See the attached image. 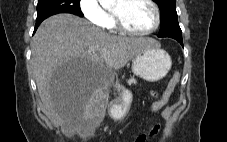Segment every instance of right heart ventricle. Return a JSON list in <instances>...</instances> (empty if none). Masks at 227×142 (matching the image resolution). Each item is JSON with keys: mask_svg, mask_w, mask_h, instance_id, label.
<instances>
[{"mask_svg": "<svg viewBox=\"0 0 227 142\" xmlns=\"http://www.w3.org/2000/svg\"><path fill=\"white\" fill-rule=\"evenodd\" d=\"M104 28H106L109 31H115L117 29L116 26H115L112 15L109 14L108 20H107Z\"/></svg>", "mask_w": 227, "mask_h": 142, "instance_id": "obj_1", "label": "right heart ventricle"}]
</instances>
